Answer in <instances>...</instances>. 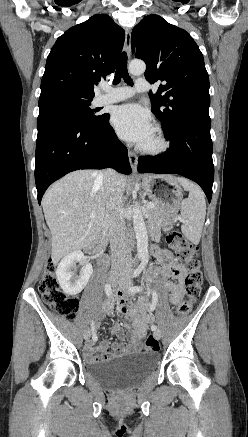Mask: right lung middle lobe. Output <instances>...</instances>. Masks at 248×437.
<instances>
[{"mask_svg": "<svg viewBox=\"0 0 248 437\" xmlns=\"http://www.w3.org/2000/svg\"><path fill=\"white\" fill-rule=\"evenodd\" d=\"M92 98L76 96L66 92H51L39 98V113L58 111L71 115L84 123L92 124L106 120L109 115H98V109L89 107Z\"/></svg>", "mask_w": 248, "mask_h": 437, "instance_id": "dd1d6c3e", "label": "right lung middle lobe"}]
</instances>
